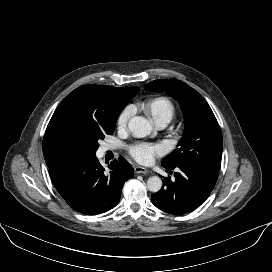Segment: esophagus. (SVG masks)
<instances>
[{
	"label": "esophagus",
	"instance_id": "34e87169",
	"mask_svg": "<svg viewBox=\"0 0 272 272\" xmlns=\"http://www.w3.org/2000/svg\"><path fill=\"white\" fill-rule=\"evenodd\" d=\"M134 172H135L136 174H146V173H148L149 171H148L146 168L142 167V166H135V167H134Z\"/></svg>",
	"mask_w": 272,
	"mask_h": 272
}]
</instances>
